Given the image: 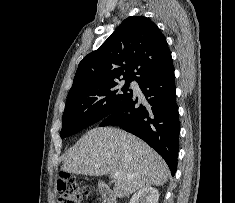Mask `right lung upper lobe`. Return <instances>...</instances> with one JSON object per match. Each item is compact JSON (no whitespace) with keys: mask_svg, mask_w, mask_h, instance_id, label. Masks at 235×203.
<instances>
[{"mask_svg":"<svg viewBox=\"0 0 235 203\" xmlns=\"http://www.w3.org/2000/svg\"><path fill=\"white\" fill-rule=\"evenodd\" d=\"M171 62V52L159 28L144 16H131L96 51L83 58L69 93L120 78L138 82Z\"/></svg>","mask_w":235,"mask_h":203,"instance_id":"obj_1","label":"right lung upper lobe"}]
</instances>
